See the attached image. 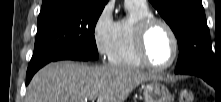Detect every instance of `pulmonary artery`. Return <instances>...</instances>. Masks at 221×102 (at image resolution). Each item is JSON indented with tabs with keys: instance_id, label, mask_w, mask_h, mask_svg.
Masks as SVG:
<instances>
[{
	"instance_id": "pulmonary-artery-1",
	"label": "pulmonary artery",
	"mask_w": 221,
	"mask_h": 102,
	"mask_svg": "<svg viewBox=\"0 0 221 102\" xmlns=\"http://www.w3.org/2000/svg\"><path fill=\"white\" fill-rule=\"evenodd\" d=\"M126 2H134V3L146 5V0H126Z\"/></svg>"
}]
</instances>
